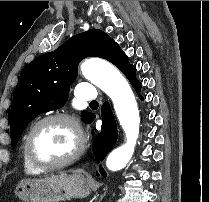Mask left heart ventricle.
I'll use <instances>...</instances> for the list:
<instances>
[{
  "mask_svg": "<svg viewBox=\"0 0 209 202\" xmlns=\"http://www.w3.org/2000/svg\"><path fill=\"white\" fill-rule=\"evenodd\" d=\"M76 143V133L69 125L61 121H49L34 132L31 151L36 160L54 163L69 156Z\"/></svg>",
  "mask_w": 209,
  "mask_h": 202,
  "instance_id": "b2bd125f",
  "label": "left heart ventricle"
}]
</instances>
